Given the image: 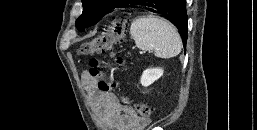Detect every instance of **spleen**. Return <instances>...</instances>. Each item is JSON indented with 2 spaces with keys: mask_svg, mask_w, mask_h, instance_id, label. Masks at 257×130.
Returning a JSON list of instances; mask_svg holds the SVG:
<instances>
[{
  "mask_svg": "<svg viewBox=\"0 0 257 130\" xmlns=\"http://www.w3.org/2000/svg\"><path fill=\"white\" fill-rule=\"evenodd\" d=\"M131 38L144 51H154L158 58L169 59L181 52L182 41L176 28L167 20L149 15L133 20Z\"/></svg>",
  "mask_w": 257,
  "mask_h": 130,
  "instance_id": "3e777b00",
  "label": "spleen"
}]
</instances>
